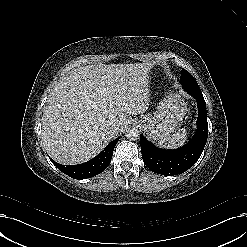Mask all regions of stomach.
I'll use <instances>...</instances> for the list:
<instances>
[{
  "instance_id": "obj_1",
  "label": "stomach",
  "mask_w": 247,
  "mask_h": 247,
  "mask_svg": "<svg viewBox=\"0 0 247 247\" xmlns=\"http://www.w3.org/2000/svg\"><path fill=\"white\" fill-rule=\"evenodd\" d=\"M187 113V104L181 95L170 93L157 106L153 115H144L139 124L151 140H159L173 133Z\"/></svg>"
}]
</instances>
